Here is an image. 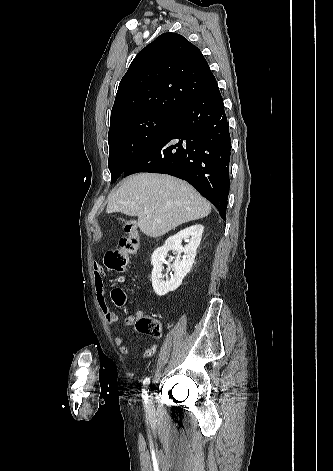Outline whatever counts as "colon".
Masks as SVG:
<instances>
[{
    "label": "colon",
    "instance_id": "colon-1",
    "mask_svg": "<svg viewBox=\"0 0 333 471\" xmlns=\"http://www.w3.org/2000/svg\"><path fill=\"white\" fill-rule=\"evenodd\" d=\"M119 222L123 224L126 236L120 239L116 249L106 253L104 262L110 270L123 273L128 266L130 257L138 251L139 234L135 221L120 219ZM112 296L117 304L124 303L125 294L121 289H115ZM136 328L152 337H159L162 332L161 322L157 318L143 314H140L136 319Z\"/></svg>",
    "mask_w": 333,
    "mask_h": 471
}]
</instances>
